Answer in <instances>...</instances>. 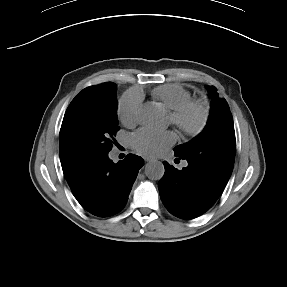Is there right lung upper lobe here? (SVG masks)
<instances>
[{
	"label": "right lung upper lobe",
	"instance_id": "right-lung-upper-lobe-1",
	"mask_svg": "<svg viewBox=\"0 0 287 287\" xmlns=\"http://www.w3.org/2000/svg\"><path fill=\"white\" fill-rule=\"evenodd\" d=\"M71 176H68L66 179H69Z\"/></svg>",
	"mask_w": 287,
	"mask_h": 287
}]
</instances>
